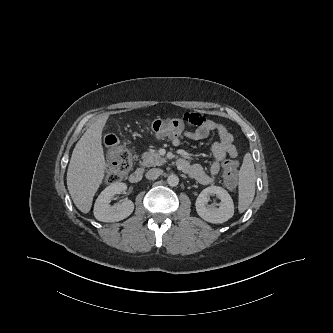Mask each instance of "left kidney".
Wrapping results in <instances>:
<instances>
[{
  "instance_id": "obj_1",
  "label": "left kidney",
  "mask_w": 333,
  "mask_h": 333,
  "mask_svg": "<svg viewBox=\"0 0 333 333\" xmlns=\"http://www.w3.org/2000/svg\"><path fill=\"white\" fill-rule=\"evenodd\" d=\"M211 194H215L221 200L218 208L207 205L208 196ZM195 205L198 215L209 223H224L234 215L233 200L222 187L209 186L205 188L197 197Z\"/></svg>"
}]
</instances>
